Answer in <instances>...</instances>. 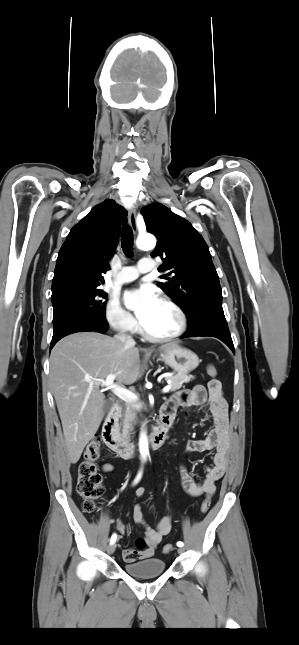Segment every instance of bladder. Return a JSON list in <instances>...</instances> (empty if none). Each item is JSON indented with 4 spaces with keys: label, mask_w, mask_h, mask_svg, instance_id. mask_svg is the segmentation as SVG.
I'll list each match as a JSON object with an SVG mask.
<instances>
[{
    "label": "bladder",
    "mask_w": 299,
    "mask_h": 645,
    "mask_svg": "<svg viewBox=\"0 0 299 645\" xmlns=\"http://www.w3.org/2000/svg\"><path fill=\"white\" fill-rule=\"evenodd\" d=\"M123 570L130 576L136 578L156 577L166 570V563L160 558H149L133 563H127Z\"/></svg>",
    "instance_id": "bladder-1"
}]
</instances>
